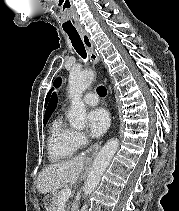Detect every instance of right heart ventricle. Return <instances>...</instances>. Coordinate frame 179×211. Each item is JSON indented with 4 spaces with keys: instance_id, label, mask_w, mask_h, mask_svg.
Instances as JSON below:
<instances>
[{
    "instance_id": "obj_1",
    "label": "right heart ventricle",
    "mask_w": 179,
    "mask_h": 211,
    "mask_svg": "<svg viewBox=\"0 0 179 211\" xmlns=\"http://www.w3.org/2000/svg\"><path fill=\"white\" fill-rule=\"evenodd\" d=\"M77 147L74 141V130L67 125L62 116H57L49 129L47 150L50 160L65 161L75 154Z\"/></svg>"
}]
</instances>
